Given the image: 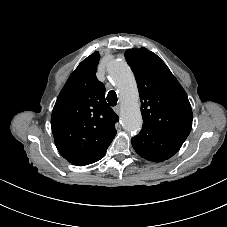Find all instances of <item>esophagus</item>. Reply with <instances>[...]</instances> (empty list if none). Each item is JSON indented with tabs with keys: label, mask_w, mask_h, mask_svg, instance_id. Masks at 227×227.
<instances>
[{
	"label": "esophagus",
	"mask_w": 227,
	"mask_h": 227,
	"mask_svg": "<svg viewBox=\"0 0 227 227\" xmlns=\"http://www.w3.org/2000/svg\"><path fill=\"white\" fill-rule=\"evenodd\" d=\"M114 111H115V113H116L117 115H119V114H120V112H121V108H120V106H116V107H114Z\"/></svg>",
	"instance_id": "1"
}]
</instances>
